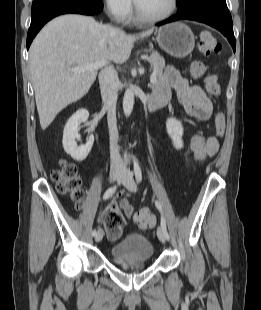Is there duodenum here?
<instances>
[{
    "instance_id": "410a0bca",
    "label": "duodenum",
    "mask_w": 261,
    "mask_h": 310,
    "mask_svg": "<svg viewBox=\"0 0 261 310\" xmlns=\"http://www.w3.org/2000/svg\"><path fill=\"white\" fill-rule=\"evenodd\" d=\"M165 103H166V101L164 99L151 96L148 99V108H149V110L153 111L155 109L162 107Z\"/></svg>"
}]
</instances>
